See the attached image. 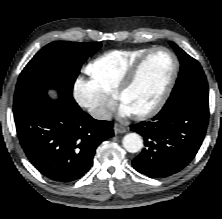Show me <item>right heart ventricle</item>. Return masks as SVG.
Here are the masks:
<instances>
[{"label":"right heart ventricle","instance_id":"right-heart-ventricle-1","mask_svg":"<svg viewBox=\"0 0 222 219\" xmlns=\"http://www.w3.org/2000/svg\"><path fill=\"white\" fill-rule=\"evenodd\" d=\"M149 49L151 48L143 47L107 51L92 60L85 71L101 94L107 97L113 96L129 67Z\"/></svg>","mask_w":222,"mask_h":219}]
</instances>
